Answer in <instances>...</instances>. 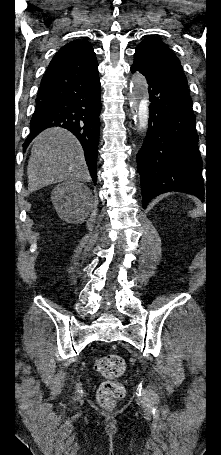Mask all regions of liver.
Here are the masks:
<instances>
[{
  "label": "liver",
  "mask_w": 221,
  "mask_h": 455,
  "mask_svg": "<svg viewBox=\"0 0 221 455\" xmlns=\"http://www.w3.org/2000/svg\"><path fill=\"white\" fill-rule=\"evenodd\" d=\"M27 175L30 192L66 180H90L79 141L59 127L46 129L34 140Z\"/></svg>",
  "instance_id": "1"
}]
</instances>
